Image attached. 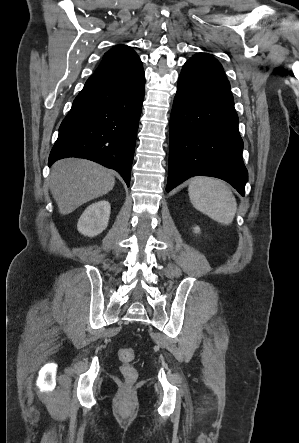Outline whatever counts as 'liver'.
<instances>
[{"label": "liver", "mask_w": 299, "mask_h": 443, "mask_svg": "<svg viewBox=\"0 0 299 443\" xmlns=\"http://www.w3.org/2000/svg\"><path fill=\"white\" fill-rule=\"evenodd\" d=\"M49 178L51 194L62 215L107 194L115 185L111 170L79 158L58 160L53 164Z\"/></svg>", "instance_id": "1"}]
</instances>
